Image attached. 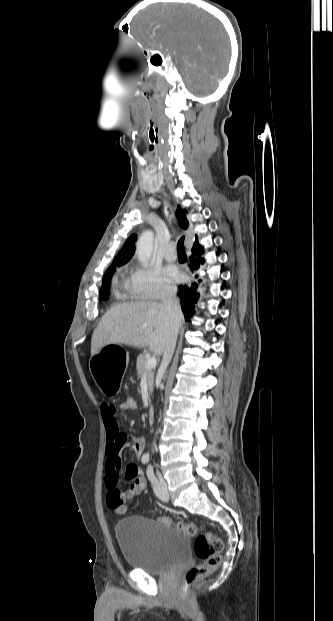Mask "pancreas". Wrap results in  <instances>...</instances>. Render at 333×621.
I'll return each mask as SVG.
<instances>
[{"label":"pancreas","mask_w":333,"mask_h":621,"mask_svg":"<svg viewBox=\"0 0 333 621\" xmlns=\"http://www.w3.org/2000/svg\"><path fill=\"white\" fill-rule=\"evenodd\" d=\"M147 359H148L147 355L140 354L137 358L136 368H137V374L139 377H142L144 375L146 376L147 384H148V391L151 393L153 391L155 368L148 369L146 367Z\"/></svg>","instance_id":"obj_1"}]
</instances>
